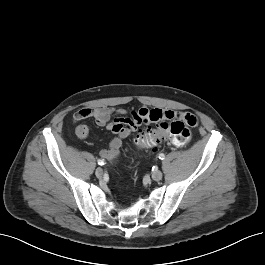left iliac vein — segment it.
<instances>
[{
	"instance_id": "1",
	"label": "left iliac vein",
	"mask_w": 265,
	"mask_h": 265,
	"mask_svg": "<svg viewBox=\"0 0 265 265\" xmlns=\"http://www.w3.org/2000/svg\"><path fill=\"white\" fill-rule=\"evenodd\" d=\"M162 176H163V174L160 170H156L152 173V179L155 181L161 180Z\"/></svg>"
}]
</instances>
